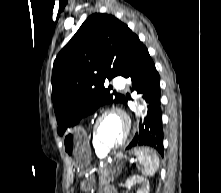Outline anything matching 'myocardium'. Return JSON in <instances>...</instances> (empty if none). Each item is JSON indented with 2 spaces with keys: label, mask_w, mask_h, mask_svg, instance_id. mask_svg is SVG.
Returning a JSON list of instances; mask_svg holds the SVG:
<instances>
[{
  "label": "myocardium",
  "mask_w": 221,
  "mask_h": 193,
  "mask_svg": "<svg viewBox=\"0 0 221 193\" xmlns=\"http://www.w3.org/2000/svg\"><path fill=\"white\" fill-rule=\"evenodd\" d=\"M108 114H116V115L120 116L123 119L124 124H125L124 134H123L121 140L118 143H116L115 145H107V144L103 143L98 136V124H99L100 120ZM130 129H131V122H130L128 115L120 108L108 107L100 112V114L96 117V119L93 123V127H92L93 142L98 147L103 149L105 152L120 148L127 140L129 133H130Z\"/></svg>",
  "instance_id": "obj_1"
}]
</instances>
